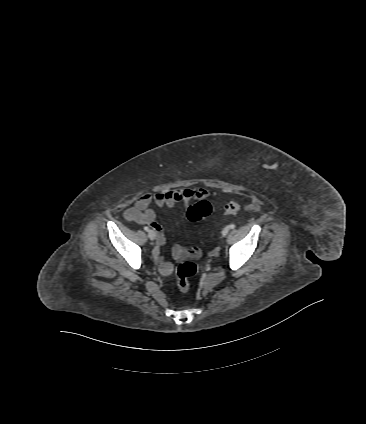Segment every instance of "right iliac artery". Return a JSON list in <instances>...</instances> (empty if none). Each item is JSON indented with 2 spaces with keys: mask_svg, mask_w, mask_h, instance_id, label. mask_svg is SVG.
Masks as SVG:
<instances>
[{
  "mask_svg": "<svg viewBox=\"0 0 366 424\" xmlns=\"http://www.w3.org/2000/svg\"><path fill=\"white\" fill-rule=\"evenodd\" d=\"M145 231H149V228L147 226L144 227Z\"/></svg>",
  "mask_w": 366,
  "mask_h": 424,
  "instance_id": "1",
  "label": "right iliac artery"
}]
</instances>
